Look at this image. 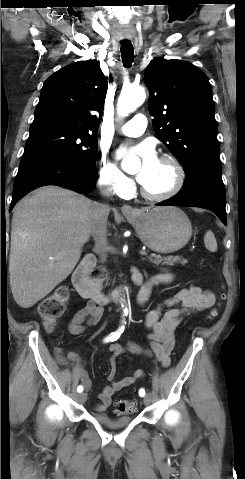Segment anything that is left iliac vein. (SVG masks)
I'll return each mask as SVG.
<instances>
[{
  "instance_id": "obj_1",
  "label": "left iliac vein",
  "mask_w": 245,
  "mask_h": 479,
  "mask_svg": "<svg viewBox=\"0 0 245 479\" xmlns=\"http://www.w3.org/2000/svg\"><path fill=\"white\" fill-rule=\"evenodd\" d=\"M150 399H151L150 396H149V395H146V396L144 397V399H143L144 404H145V405H148V404L150 403Z\"/></svg>"
}]
</instances>
